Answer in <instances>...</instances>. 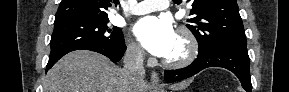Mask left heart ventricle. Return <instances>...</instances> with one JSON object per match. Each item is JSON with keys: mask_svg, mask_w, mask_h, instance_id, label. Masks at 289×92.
<instances>
[{"mask_svg": "<svg viewBox=\"0 0 289 92\" xmlns=\"http://www.w3.org/2000/svg\"><path fill=\"white\" fill-rule=\"evenodd\" d=\"M185 51H186V47H185L184 42L177 36L175 44L171 52L168 54L166 58L167 59L180 58L181 56L184 55Z\"/></svg>", "mask_w": 289, "mask_h": 92, "instance_id": "obj_1", "label": "left heart ventricle"}]
</instances>
